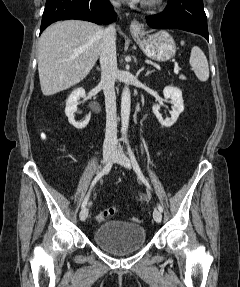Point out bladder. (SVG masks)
I'll return each mask as SVG.
<instances>
[{"label": "bladder", "mask_w": 240, "mask_h": 287, "mask_svg": "<svg viewBox=\"0 0 240 287\" xmlns=\"http://www.w3.org/2000/svg\"><path fill=\"white\" fill-rule=\"evenodd\" d=\"M92 240L111 254L126 255L145 245L146 231L140 224L116 220L99 225L92 233Z\"/></svg>", "instance_id": "bladder-1"}]
</instances>
